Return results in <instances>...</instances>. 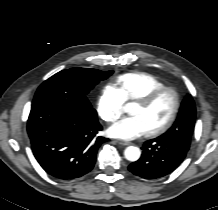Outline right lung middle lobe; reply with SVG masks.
<instances>
[{"label":"right lung middle lobe","mask_w":218,"mask_h":210,"mask_svg":"<svg viewBox=\"0 0 218 210\" xmlns=\"http://www.w3.org/2000/svg\"><path fill=\"white\" fill-rule=\"evenodd\" d=\"M112 73L113 71L102 72L87 68L60 71L39 86L32 104L55 101L96 112L86 95L99 81L107 79Z\"/></svg>","instance_id":"obj_1"}]
</instances>
